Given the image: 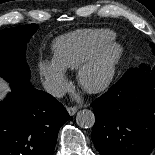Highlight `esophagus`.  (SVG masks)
Returning a JSON list of instances; mask_svg holds the SVG:
<instances>
[{"label":"esophagus","instance_id":"1","mask_svg":"<svg viewBox=\"0 0 155 155\" xmlns=\"http://www.w3.org/2000/svg\"><path fill=\"white\" fill-rule=\"evenodd\" d=\"M77 110H78V108L76 106H70L67 108V111H68L70 116L75 115Z\"/></svg>","mask_w":155,"mask_h":155}]
</instances>
